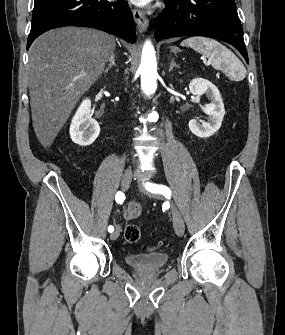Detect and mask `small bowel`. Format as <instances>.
<instances>
[{"mask_svg":"<svg viewBox=\"0 0 285 335\" xmlns=\"http://www.w3.org/2000/svg\"><path fill=\"white\" fill-rule=\"evenodd\" d=\"M142 213V206L139 202L133 200L123 209V217L126 220H133L138 218Z\"/></svg>","mask_w":285,"mask_h":335,"instance_id":"1","label":"small bowel"}]
</instances>
